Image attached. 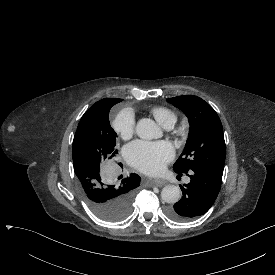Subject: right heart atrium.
I'll list each match as a JSON object with an SVG mask.
<instances>
[{"label":"right heart atrium","mask_w":275,"mask_h":275,"mask_svg":"<svg viewBox=\"0 0 275 275\" xmlns=\"http://www.w3.org/2000/svg\"><path fill=\"white\" fill-rule=\"evenodd\" d=\"M114 132L123 140H128L134 133V119L130 113L119 114L113 121Z\"/></svg>","instance_id":"d8ad5b80"}]
</instances>
